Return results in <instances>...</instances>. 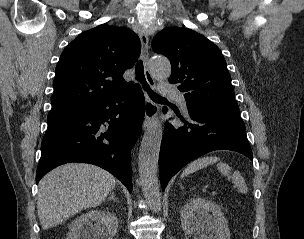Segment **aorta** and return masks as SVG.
<instances>
[{
    "instance_id": "1",
    "label": "aorta",
    "mask_w": 304,
    "mask_h": 239,
    "mask_svg": "<svg viewBox=\"0 0 304 239\" xmlns=\"http://www.w3.org/2000/svg\"><path fill=\"white\" fill-rule=\"evenodd\" d=\"M150 71L155 78H168L171 74L169 60L163 56L151 58ZM162 136V125L158 120H154L144 133L138 157L139 177L142 191L150 207L156 211L160 210L161 201L158 182V159Z\"/></svg>"
}]
</instances>
